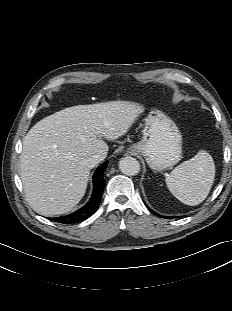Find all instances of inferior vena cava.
I'll return each mask as SVG.
<instances>
[{
	"mask_svg": "<svg viewBox=\"0 0 232 311\" xmlns=\"http://www.w3.org/2000/svg\"><path fill=\"white\" fill-rule=\"evenodd\" d=\"M104 159H105L104 155L94 154L91 157L86 159V164L89 168H93L94 166H96L98 163H100Z\"/></svg>",
	"mask_w": 232,
	"mask_h": 311,
	"instance_id": "obj_1",
	"label": "inferior vena cava"
}]
</instances>
